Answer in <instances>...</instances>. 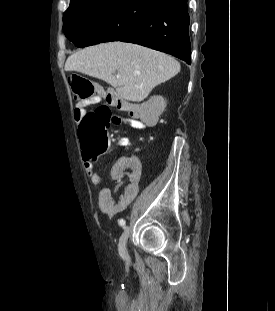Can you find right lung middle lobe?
Instances as JSON below:
<instances>
[{
    "label": "right lung middle lobe",
    "mask_w": 275,
    "mask_h": 311,
    "mask_svg": "<svg viewBox=\"0 0 275 311\" xmlns=\"http://www.w3.org/2000/svg\"><path fill=\"white\" fill-rule=\"evenodd\" d=\"M160 0H83L70 3L63 16L66 37L77 47L115 41Z\"/></svg>",
    "instance_id": "1"
}]
</instances>
